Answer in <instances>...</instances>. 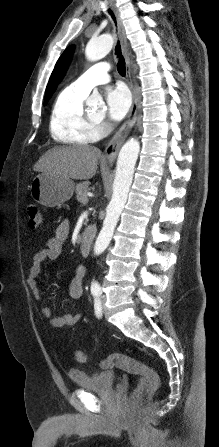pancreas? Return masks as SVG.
Segmentation results:
<instances>
[{"label": "pancreas", "mask_w": 219, "mask_h": 447, "mask_svg": "<svg viewBox=\"0 0 219 447\" xmlns=\"http://www.w3.org/2000/svg\"><path fill=\"white\" fill-rule=\"evenodd\" d=\"M90 182L85 181L77 184L76 186V199L82 202L83 198L87 197V191L90 189Z\"/></svg>", "instance_id": "obj_1"}]
</instances>
